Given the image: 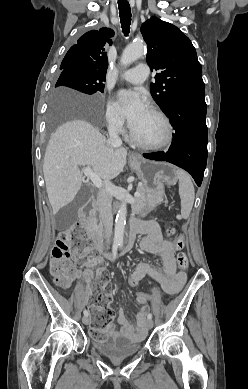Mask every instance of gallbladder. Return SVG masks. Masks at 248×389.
<instances>
[{
    "instance_id": "bac80fb5",
    "label": "gallbladder",
    "mask_w": 248,
    "mask_h": 389,
    "mask_svg": "<svg viewBox=\"0 0 248 389\" xmlns=\"http://www.w3.org/2000/svg\"><path fill=\"white\" fill-rule=\"evenodd\" d=\"M90 190L87 186H84L76 195L73 202L66 208L62 210V212L58 216V224L62 225L64 221L69 217L70 222L73 223L77 217V210L80 206H82L89 198Z\"/></svg>"
}]
</instances>
